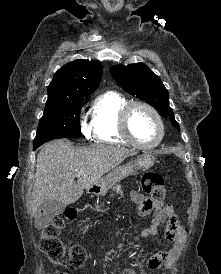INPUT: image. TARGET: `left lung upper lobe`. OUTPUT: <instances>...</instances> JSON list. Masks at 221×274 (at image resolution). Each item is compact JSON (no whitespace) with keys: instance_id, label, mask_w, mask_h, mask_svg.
<instances>
[{"instance_id":"1","label":"left lung upper lobe","mask_w":221,"mask_h":274,"mask_svg":"<svg viewBox=\"0 0 221 274\" xmlns=\"http://www.w3.org/2000/svg\"><path fill=\"white\" fill-rule=\"evenodd\" d=\"M110 72L126 92L152 105L163 117H169L178 130L180 129L169 106L168 90L145 64L117 65L113 66Z\"/></svg>"}]
</instances>
